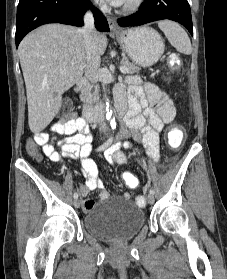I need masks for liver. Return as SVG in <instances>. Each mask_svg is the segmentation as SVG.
Listing matches in <instances>:
<instances>
[{
    "label": "liver",
    "instance_id": "liver-1",
    "mask_svg": "<svg viewBox=\"0 0 227 279\" xmlns=\"http://www.w3.org/2000/svg\"><path fill=\"white\" fill-rule=\"evenodd\" d=\"M95 37L103 55L107 38L97 31ZM18 55L26 85L29 128L39 133L60 110L64 92L83 76L86 64L83 30L62 24L43 25L21 41Z\"/></svg>",
    "mask_w": 227,
    "mask_h": 279
}]
</instances>
